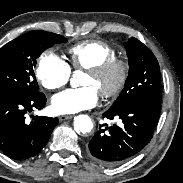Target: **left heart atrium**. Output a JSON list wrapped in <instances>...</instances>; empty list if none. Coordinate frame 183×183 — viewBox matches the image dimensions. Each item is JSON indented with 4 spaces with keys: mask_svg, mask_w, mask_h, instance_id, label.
<instances>
[{
    "mask_svg": "<svg viewBox=\"0 0 183 183\" xmlns=\"http://www.w3.org/2000/svg\"><path fill=\"white\" fill-rule=\"evenodd\" d=\"M99 93L92 86L67 89L52 98V108L57 114H73L94 107Z\"/></svg>",
    "mask_w": 183,
    "mask_h": 183,
    "instance_id": "1",
    "label": "left heart atrium"
}]
</instances>
